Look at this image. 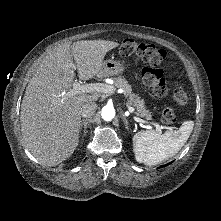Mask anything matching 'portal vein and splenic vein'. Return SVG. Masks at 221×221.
Listing matches in <instances>:
<instances>
[{
    "mask_svg": "<svg viewBox=\"0 0 221 221\" xmlns=\"http://www.w3.org/2000/svg\"><path fill=\"white\" fill-rule=\"evenodd\" d=\"M112 91H113L112 87L106 86V85H103L100 83L81 85L79 82L75 81L73 83V89H71L67 94L69 96H73V95L80 94V93H92V92H105V93H107V92H112ZM64 94H65V92L62 95H64ZM133 111H134V109L132 107H130L129 112L133 113ZM133 118L136 122L147 123L146 121H144L136 116H134ZM150 124L153 125L159 132H162V130H164V127L160 126L157 123L151 122Z\"/></svg>",
    "mask_w": 221,
    "mask_h": 221,
    "instance_id": "1",
    "label": "portal vein and splenic vein"
}]
</instances>
